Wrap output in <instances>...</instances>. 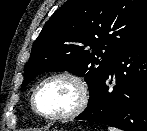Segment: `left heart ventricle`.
Here are the masks:
<instances>
[{
    "mask_svg": "<svg viewBox=\"0 0 147 131\" xmlns=\"http://www.w3.org/2000/svg\"><path fill=\"white\" fill-rule=\"evenodd\" d=\"M79 100L77 86L70 80L57 78L46 82L38 91L36 103L47 115H61L75 108Z\"/></svg>",
    "mask_w": 147,
    "mask_h": 131,
    "instance_id": "obj_1",
    "label": "left heart ventricle"
}]
</instances>
